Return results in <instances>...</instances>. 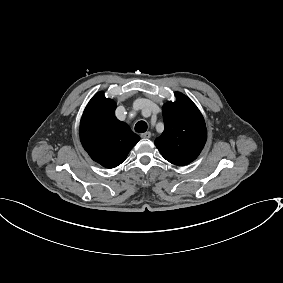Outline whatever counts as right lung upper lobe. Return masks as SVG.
<instances>
[{"mask_svg":"<svg viewBox=\"0 0 283 283\" xmlns=\"http://www.w3.org/2000/svg\"><path fill=\"white\" fill-rule=\"evenodd\" d=\"M116 104L98 92L88 103L80 124V139L90 157L106 168L120 165L139 141L127 124L115 117Z\"/></svg>","mask_w":283,"mask_h":283,"instance_id":"1","label":"right lung upper lobe"}]
</instances>
